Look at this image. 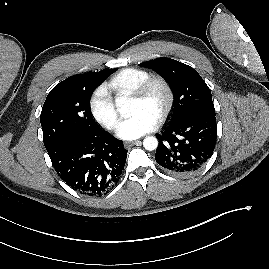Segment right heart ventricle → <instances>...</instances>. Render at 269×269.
Listing matches in <instances>:
<instances>
[{
  "label": "right heart ventricle",
  "mask_w": 269,
  "mask_h": 269,
  "mask_svg": "<svg viewBox=\"0 0 269 269\" xmlns=\"http://www.w3.org/2000/svg\"><path fill=\"white\" fill-rule=\"evenodd\" d=\"M151 75L147 70L128 67L116 73L108 82L107 88L117 96H129Z\"/></svg>",
  "instance_id": "e07e8e85"
}]
</instances>
